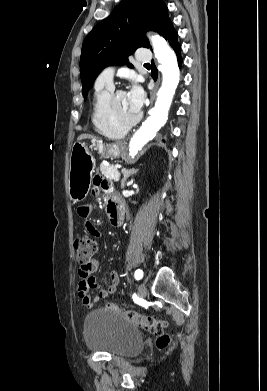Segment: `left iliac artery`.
Instances as JSON below:
<instances>
[{"label": "left iliac artery", "mask_w": 267, "mask_h": 391, "mask_svg": "<svg viewBox=\"0 0 267 391\" xmlns=\"http://www.w3.org/2000/svg\"><path fill=\"white\" fill-rule=\"evenodd\" d=\"M142 277H143V271L140 270V269L136 270V272H135V279L136 280H140Z\"/></svg>", "instance_id": "1"}]
</instances>
